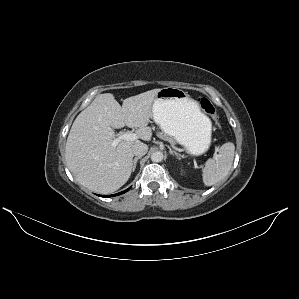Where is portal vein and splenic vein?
<instances>
[{"label": "portal vein and splenic vein", "instance_id": "obj_1", "mask_svg": "<svg viewBox=\"0 0 299 299\" xmlns=\"http://www.w3.org/2000/svg\"><path fill=\"white\" fill-rule=\"evenodd\" d=\"M138 139V136L135 133H124L113 140L112 146L116 147L120 141L127 140V141H135ZM217 157V154H214Z\"/></svg>", "mask_w": 299, "mask_h": 299}]
</instances>
